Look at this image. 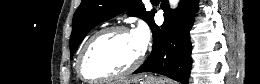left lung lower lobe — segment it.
Instances as JSON below:
<instances>
[{
    "label": "left lung lower lobe",
    "instance_id": "0a47b994",
    "mask_svg": "<svg viewBox=\"0 0 260 84\" xmlns=\"http://www.w3.org/2000/svg\"><path fill=\"white\" fill-rule=\"evenodd\" d=\"M198 0H180L172 11L167 0H161L164 23L157 26L152 20L153 49L147 60L134 72H154L165 75L182 84L189 83L191 59L190 29ZM154 18V17H153Z\"/></svg>",
    "mask_w": 260,
    "mask_h": 84
}]
</instances>
